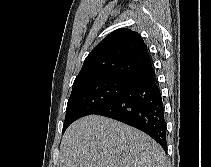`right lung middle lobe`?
Listing matches in <instances>:
<instances>
[{
    "label": "right lung middle lobe",
    "instance_id": "1",
    "mask_svg": "<svg viewBox=\"0 0 211 167\" xmlns=\"http://www.w3.org/2000/svg\"><path fill=\"white\" fill-rule=\"evenodd\" d=\"M130 86L128 77H103L72 87L63 132L75 120L107 105Z\"/></svg>",
    "mask_w": 211,
    "mask_h": 167
}]
</instances>
